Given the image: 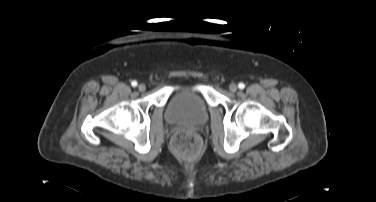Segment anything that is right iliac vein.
<instances>
[{
  "label": "right iliac vein",
  "instance_id": "63e3f726",
  "mask_svg": "<svg viewBox=\"0 0 376 202\" xmlns=\"http://www.w3.org/2000/svg\"><path fill=\"white\" fill-rule=\"evenodd\" d=\"M138 90L141 91V92L145 91L146 90V85L143 84V83L139 84L138 85Z\"/></svg>",
  "mask_w": 376,
  "mask_h": 202
}]
</instances>
